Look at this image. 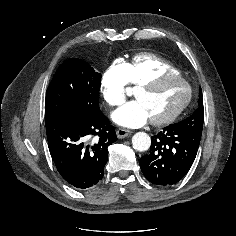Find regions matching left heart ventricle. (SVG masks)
<instances>
[{
	"label": "left heart ventricle",
	"instance_id": "left-heart-ventricle-1",
	"mask_svg": "<svg viewBox=\"0 0 236 236\" xmlns=\"http://www.w3.org/2000/svg\"><path fill=\"white\" fill-rule=\"evenodd\" d=\"M185 85L177 80L162 82L152 90L136 92L138 100L145 105L150 118H160L174 111L185 99Z\"/></svg>",
	"mask_w": 236,
	"mask_h": 236
}]
</instances>
